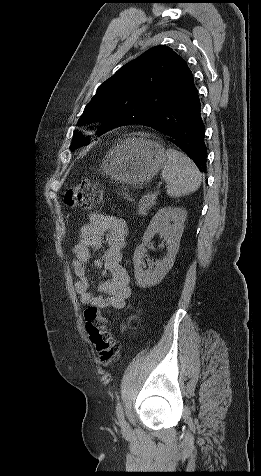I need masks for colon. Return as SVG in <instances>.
<instances>
[{"mask_svg": "<svg viewBox=\"0 0 261 476\" xmlns=\"http://www.w3.org/2000/svg\"><path fill=\"white\" fill-rule=\"evenodd\" d=\"M63 200L69 207L85 210L96 209L103 203V190L99 184L84 179L70 187L64 193ZM84 316L86 332L98 353L101 363L109 365L118 356L119 344L108 332L106 318L98 308L93 306L85 310ZM138 318V315H132L125 328L134 326Z\"/></svg>", "mask_w": 261, "mask_h": 476, "instance_id": "1", "label": "colon"}]
</instances>
